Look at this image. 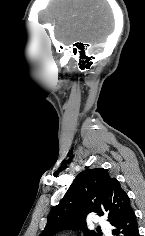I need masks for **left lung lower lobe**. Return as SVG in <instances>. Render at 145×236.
I'll return each mask as SVG.
<instances>
[{"label": "left lung lower lobe", "mask_w": 145, "mask_h": 236, "mask_svg": "<svg viewBox=\"0 0 145 236\" xmlns=\"http://www.w3.org/2000/svg\"><path fill=\"white\" fill-rule=\"evenodd\" d=\"M113 226L112 233L115 236H139L137 219L133 209Z\"/></svg>", "instance_id": "1"}]
</instances>
